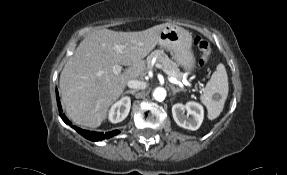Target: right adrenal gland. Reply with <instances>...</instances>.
<instances>
[{
    "label": "right adrenal gland",
    "mask_w": 287,
    "mask_h": 175,
    "mask_svg": "<svg viewBox=\"0 0 287 175\" xmlns=\"http://www.w3.org/2000/svg\"><path fill=\"white\" fill-rule=\"evenodd\" d=\"M136 92V90H128V91H125L124 94H134Z\"/></svg>",
    "instance_id": "right-adrenal-gland-1"
}]
</instances>
